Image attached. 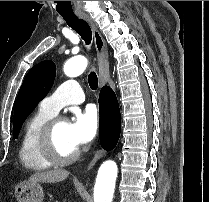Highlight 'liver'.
Here are the masks:
<instances>
[{"label":"liver","instance_id":"liver-1","mask_svg":"<svg viewBox=\"0 0 209 202\" xmlns=\"http://www.w3.org/2000/svg\"><path fill=\"white\" fill-rule=\"evenodd\" d=\"M69 176V171L56 169L44 172H38L30 176L29 182L56 183L64 181Z\"/></svg>","mask_w":209,"mask_h":202}]
</instances>
